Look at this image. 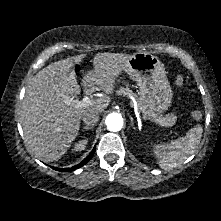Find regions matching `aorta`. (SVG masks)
I'll return each mask as SVG.
<instances>
[{
  "label": "aorta",
  "mask_w": 221,
  "mask_h": 221,
  "mask_svg": "<svg viewBox=\"0 0 221 221\" xmlns=\"http://www.w3.org/2000/svg\"><path fill=\"white\" fill-rule=\"evenodd\" d=\"M107 129L112 132L120 131L123 127V118L120 114L111 113L105 120Z\"/></svg>",
  "instance_id": "obj_1"
}]
</instances>
